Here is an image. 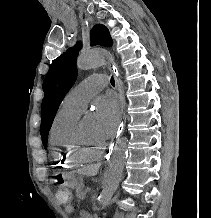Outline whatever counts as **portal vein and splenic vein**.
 <instances>
[{
	"label": "portal vein and splenic vein",
	"mask_w": 211,
	"mask_h": 218,
	"mask_svg": "<svg viewBox=\"0 0 211 218\" xmlns=\"http://www.w3.org/2000/svg\"><path fill=\"white\" fill-rule=\"evenodd\" d=\"M91 187L90 186H87V188H85V191H88V189H90Z\"/></svg>",
	"instance_id": "obj_1"
}]
</instances>
